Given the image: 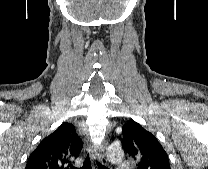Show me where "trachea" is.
<instances>
[{
	"mask_svg": "<svg viewBox=\"0 0 208 169\" xmlns=\"http://www.w3.org/2000/svg\"><path fill=\"white\" fill-rule=\"evenodd\" d=\"M98 165V169H108L107 167L103 166L101 163L97 162ZM72 169H92L91 167V159L89 157V154L87 156V158L85 159L83 166L81 168H77V167H73Z\"/></svg>",
	"mask_w": 208,
	"mask_h": 169,
	"instance_id": "1",
	"label": "trachea"
}]
</instances>
